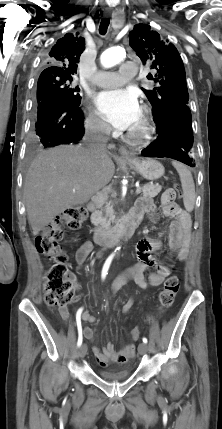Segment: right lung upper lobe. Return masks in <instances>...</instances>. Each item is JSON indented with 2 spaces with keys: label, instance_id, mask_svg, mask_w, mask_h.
Returning <instances> with one entry per match:
<instances>
[{
  "label": "right lung upper lobe",
  "instance_id": "right-lung-upper-lobe-1",
  "mask_svg": "<svg viewBox=\"0 0 222 429\" xmlns=\"http://www.w3.org/2000/svg\"><path fill=\"white\" fill-rule=\"evenodd\" d=\"M85 40L78 33H67L60 38L47 56L49 67L40 76H71L76 73Z\"/></svg>",
  "mask_w": 222,
  "mask_h": 429
}]
</instances>
